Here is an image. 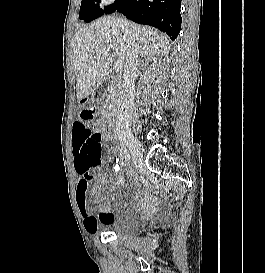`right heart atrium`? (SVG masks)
Returning a JSON list of instances; mask_svg holds the SVG:
<instances>
[{"mask_svg":"<svg viewBox=\"0 0 265 273\" xmlns=\"http://www.w3.org/2000/svg\"><path fill=\"white\" fill-rule=\"evenodd\" d=\"M115 0H101L100 1V4L102 5V6H104V5H109V4H111V3H113Z\"/></svg>","mask_w":265,"mask_h":273,"instance_id":"1","label":"right heart atrium"}]
</instances>
